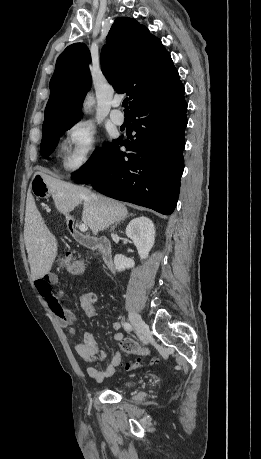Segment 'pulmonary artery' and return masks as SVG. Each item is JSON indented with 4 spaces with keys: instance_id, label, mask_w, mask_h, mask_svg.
<instances>
[{
    "instance_id": "obj_1",
    "label": "pulmonary artery",
    "mask_w": 261,
    "mask_h": 459,
    "mask_svg": "<svg viewBox=\"0 0 261 459\" xmlns=\"http://www.w3.org/2000/svg\"><path fill=\"white\" fill-rule=\"evenodd\" d=\"M119 106H120V100L114 99L112 101L113 109L110 112V118L117 125H121L125 121L124 114L118 109Z\"/></svg>"
}]
</instances>
